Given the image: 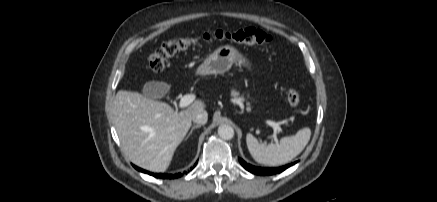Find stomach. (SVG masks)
Returning <instances> with one entry per match:
<instances>
[{
  "label": "stomach",
  "mask_w": 437,
  "mask_h": 202,
  "mask_svg": "<svg viewBox=\"0 0 437 202\" xmlns=\"http://www.w3.org/2000/svg\"><path fill=\"white\" fill-rule=\"evenodd\" d=\"M235 61L250 68V63L233 45H222L209 55L198 67L197 74L203 76L210 74H223L231 68Z\"/></svg>",
  "instance_id": "stomach-1"
}]
</instances>
